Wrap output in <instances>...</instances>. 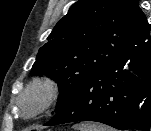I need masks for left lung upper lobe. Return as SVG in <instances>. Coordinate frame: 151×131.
I'll return each instance as SVG.
<instances>
[{
  "label": "left lung upper lobe",
  "mask_w": 151,
  "mask_h": 131,
  "mask_svg": "<svg viewBox=\"0 0 151 131\" xmlns=\"http://www.w3.org/2000/svg\"><path fill=\"white\" fill-rule=\"evenodd\" d=\"M139 0H78L39 49L31 75L60 89L58 112L90 76L117 66L130 52Z\"/></svg>",
  "instance_id": "1"
}]
</instances>
